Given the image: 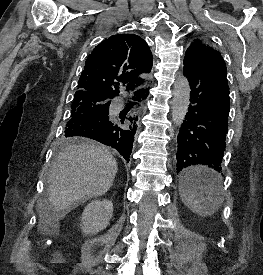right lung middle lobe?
Masks as SVG:
<instances>
[{"label":"right lung middle lobe","instance_id":"right-lung-middle-lobe-1","mask_svg":"<svg viewBox=\"0 0 263 275\" xmlns=\"http://www.w3.org/2000/svg\"><path fill=\"white\" fill-rule=\"evenodd\" d=\"M110 101L100 96L93 94H82L74 96L72 103L71 118L67 125L86 117V116H102L109 114ZM75 138L63 134L60 138V144H72L75 143Z\"/></svg>","mask_w":263,"mask_h":275}]
</instances>
